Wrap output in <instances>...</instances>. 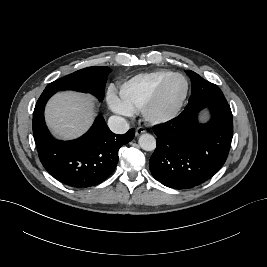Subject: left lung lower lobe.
Wrapping results in <instances>:
<instances>
[{
	"label": "left lung lower lobe",
	"instance_id": "0a47b994",
	"mask_svg": "<svg viewBox=\"0 0 267 267\" xmlns=\"http://www.w3.org/2000/svg\"><path fill=\"white\" fill-rule=\"evenodd\" d=\"M213 90L190 97L174 119L155 125L157 146L149 161L153 177L175 189H189L210 179L223 166L233 137V118L226 100L215 101ZM208 107V123L197 120Z\"/></svg>",
	"mask_w": 267,
	"mask_h": 267
}]
</instances>
